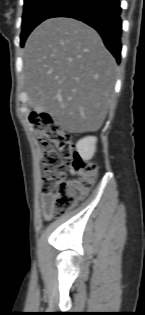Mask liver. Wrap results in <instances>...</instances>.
<instances>
[{"label":"liver","instance_id":"1","mask_svg":"<svg viewBox=\"0 0 145 315\" xmlns=\"http://www.w3.org/2000/svg\"><path fill=\"white\" fill-rule=\"evenodd\" d=\"M28 104L69 133L95 132L114 95L117 64L100 35L71 18L42 22L23 55Z\"/></svg>","mask_w":145,"mask_h":315}]
</instances>
